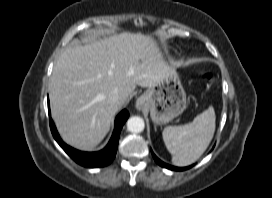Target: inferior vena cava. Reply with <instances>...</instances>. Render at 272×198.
Listing matches in <instances>:
<instances>
[{
  "instance_id": "1",
  "label": "inferior vena cava",
  "mask_w": 272,
  "mask_h": 198,
  "mask_svg": "<svg viewBox=\"0 0 272 198\" xmlns=\"http://www.w3.org/2000/svg\"><path fill=\"white\" fill-rule=\"evenodd\" d=\"M119 98H120V94L117 89L113 90L109 95V99L113 102H117Z\"/></svg>"
}]
</instances>
